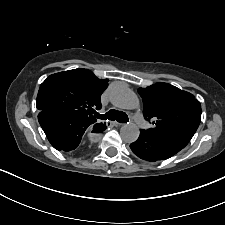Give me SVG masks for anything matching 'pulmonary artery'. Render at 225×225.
Instances as JSON below:
<instances>
[{
	"mask_svg": "<svg viewBox=\"0 0 225 225\" xmlns=\"http://www.w3.org/2000/svg\"><path fill=\"white\" fill-rule=\"evenodd\" d=\"M133 117L136 123L139 124L141 127H144V128L148 127L147 122L145 121V119L143 118L140 112L138 111L135 112Z\"/></svg>",
	"mask_w": 225,
	"mask_h": 225,
	"instance_id": "1",
	"label": "pulmonary artery"
}]
</instances>
